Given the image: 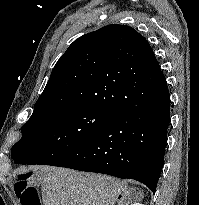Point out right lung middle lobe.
Wrapping results in <instances>:
<instances>
[{
	"mask_svg": "<svg viewBox=\"0 0 199 205\" xmlns=\"http://www.w3.org/2000/svg\"><path fill=\"white\" fill-rule=\"evenodd\" d=\"M115 113L88 105H61L34 110L22 138L11 149L16 164L49 165L89 142Z\"/></svg>",
	"mask_w": 199,
	"mask_h": 205,
	"instance_id": "dd1d6c3e",
	"label": "right lung middle lobe"
}]
</instances>
